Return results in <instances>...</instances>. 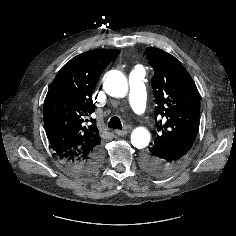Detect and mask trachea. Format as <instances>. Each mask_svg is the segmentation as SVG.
Wrapping results in <instances>:
<instances>
[{"instance_id": "1", "label": "trachea", "mask_w": 236, "mask_h": 236, "mask_svg": "<svg viewBox=\"0 0 236 236\" xmlns=\"http://www.w3.org/2000/svg\"><path fill=\"white\" fill-rule=\"evenodd\" d=\"M108 127L112 129L121 130L122 129L121 120L117 116L112 117L108 122Z\"/></svg>"}]
</instances>
